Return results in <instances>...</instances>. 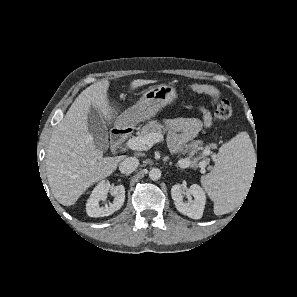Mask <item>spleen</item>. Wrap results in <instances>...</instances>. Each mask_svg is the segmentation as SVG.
<instances>
[{
  "mask_svg": "<svg viewBox=\"0 0 297 297\" xmlns=\"http://www.w3.org/2000/svg\"><path fill=\"white\" fill-rule=\"evenodd\" d=\"M256 154L248 134L241 132L219 149L213 170L201 182L214 202V213L232 210L251 181Z\"/></svg>",
  "mask_w": 297,
  "mask_h": 297,
  "instance_id": "obj_1",
  "label": "spleen"
}]
</instances>
